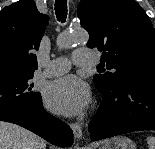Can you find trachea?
<instances>
[{"instance_id": "3493384b", "label": "trachea", "mask_w": 155, "mask_h": 149, "mask_svg": "<svg viewBox=\"0 0 155 149\" xmlns=\"http://www.w3.org/2000/svg\"><path fill=\"white\" fill-rule=\"evenodd\" d=\"M55 13L58 21L64 23L67 16V0L55 1Z\"/></svg>"}]
</instances>
